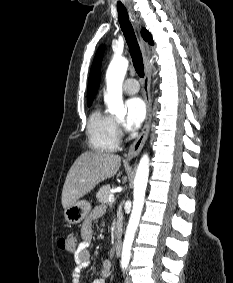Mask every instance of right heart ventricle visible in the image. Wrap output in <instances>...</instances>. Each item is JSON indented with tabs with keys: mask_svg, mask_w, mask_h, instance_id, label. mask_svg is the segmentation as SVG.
Segmentation results:
<instances>
[{
	"mask_svg": "<svg viewBox=\"0 0 233 283\" xmlns=\"http://www.w3.org/2000/svg\"><path fill=\"white\" fill-rule=\"evenodd\" d=\"M90 147L97 152H113L118 147V127L116 119L96 107L87 124Z\"/></svg>",
	"mask_w": 233,
	"mask_h": 283,
	"instance_id": "1",
	"label": "right heart ventricle"
}]
</instances>
